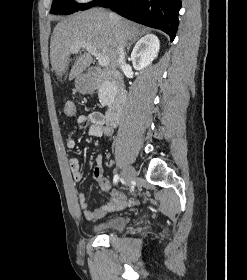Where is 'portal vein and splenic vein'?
<instances>
[{"label": "portal vein and splenic vein", "instance_id": "portal-vein-and-splenic-vein-1", "mask_svg": "<svg viewBox=\"0 0 247 280\" xmlns=\"http://www.w3.org/2000/svg\"><path fill=\"white\" fill-rule=\"evenodd\" d=\"M80 48H84L86 49L89 53H91V55L95 56L96 59L98 60V63L100 66L102 67H107L109 65V58L106 55H102L100 53H98V51L92 47L91 45L88 44H77L74 45L70 48L71 51H77Z\"/></svg>", "mask_w": 247, "mask_h": 280}]
</instances>
